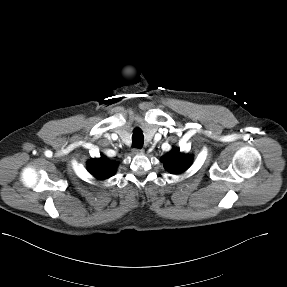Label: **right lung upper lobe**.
<instances>
[{"label":"right lung upper lobe","mask_w":287,"mask_h":287,"mask_svg":"<svg viewBox=\"0 0 287 287\" xmlns=\"http://www.w3.org/2000/svg\"><path fill=\"white\" fill-rule=\"evenodd\" d=\"M117 169V163L107 160L104 155L99 159H92L88 162L89 172L99 180L108 179Z\"/></svg>","instance_id":"cb5924a9"}]
</instances>
